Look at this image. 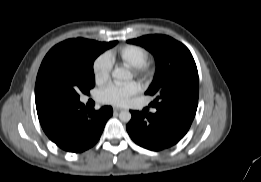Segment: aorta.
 <instances>
[{"label":"aorta","mask_w":261,"mask_h":182,"mask_svg":"<svg viewBox=\"0 0 261 182\" xmlns=\"http://www.w3.org/2000/svg\"><path fill=\"white\" fill-rule=\"evenodd\" d=\"M132 77L131 73L124 68H115L112 71V78L115 84L122 85ZM119 119L122 122H129L131 120V113L128 110H123L119 114Z\"/></svg>","instance_id":"obj_1"}]
</instances>
